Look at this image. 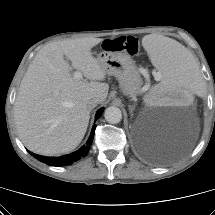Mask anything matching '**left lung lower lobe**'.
I'll return each instance as SVG.
<instances>
[{
    "label": "left lung lower lobe",
    "instance_id": "1",
    "mask_svg": "<svg viewBox=\"0 0 215 215\" xmlns=\"http://www.w3.org/2000/svg\"><path fill=\"white\" fill-rule=\"evenodd\" d=\"M139 150L143 154V156L147 157L148 159L155 161L158 160L159 153L153 146L142 143L141 145H139Z\"/></svg>",
    "mask_w": 215,
    "mask_h": 215
}]
</instances>
